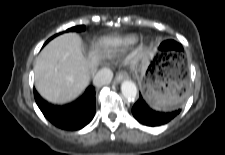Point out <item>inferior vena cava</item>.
<instances>
[{
  "label": "inferior vena cava",
  "instance_id": "obj_1",
  "mask_svg": "<svg viewBox=\"0 0 225 155\" xmlns=\"http://www.w3.org/2000/svg\"><path fill=\"white\" fill-rule=\"evenodd\" d=\"M113 78V72L109 68H103L99 70L93 78L95 86L107 85Z\"/></svg>",
  "mask_w": 225,
  "mask_h": 155
}]
</instances>
